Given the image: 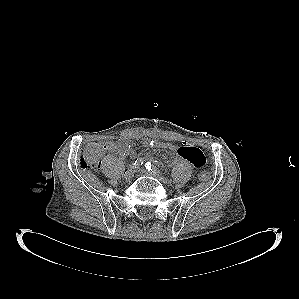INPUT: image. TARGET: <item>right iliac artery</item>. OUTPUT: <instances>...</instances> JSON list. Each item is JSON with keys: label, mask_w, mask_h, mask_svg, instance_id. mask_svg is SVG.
<instances>
[{"label": "right iliac artery", "mask_w": 299, "mask_h": 299, "mask_svg": "<svg viewBox=\"0 0 299 299\" xmlns=\"http://www.w3.org/2000/svg\"><path fill=\"white\" fill-rule=\"evenodd\" d=\"M143 159H137L134 161V163L132 165H130L131 168H138L139 166H141L143 164Z\"/></svg>", "instance_id": "obj_1"}]
</instances>
